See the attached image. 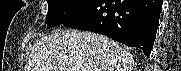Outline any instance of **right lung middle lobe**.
<instances>
[{
	"mask_svg": "<svg viewBox=\"0 0 181 71\" xmlns=\"http://www.w3.org/2000/svg\"><path fill=\"white\" fill-rule=\"evenodd\" d=\"M93 1L94 0H47V26L54 27L62 24L90 5Z\"/></svg>",
	"mask_w": 181,
	"mask_h": 71,
	"instance_id": "obj_1",
	"label": "right lung middle lobe"
}]
</instances>
